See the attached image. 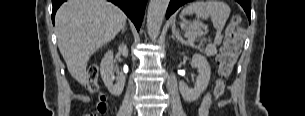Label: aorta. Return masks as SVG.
I'll return each mask as SVG.
<instances>
[{"instance_id": "1", "label": "aorta", "mask_w": 305, "mask_h": 116, "mask_svg": "<svg viewBox=\"0 0 305 116\" xmlns=\"http://www.w3.org/2000/svg\"><path fill=\"white\" fill-rule=\"evenodd\" d=\"M169 0H150L147 12V30L150 38L159 35Z\"/></svg>"}]
</instances>
